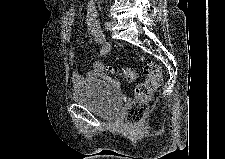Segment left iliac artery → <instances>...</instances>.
<instances>
[{
    "label": "left iliac artery",
    "mask_w": 225,
    "mask_h": 159,
    "mask_svg": "<svg viewBox=\"0 0 225 159\" xmlns=\"http://www.w3.org/2000/svg\"><path fill=\"white\" fill-rule=\"evenodd\" d=\"M108 24H109V21H106V22H105V26H108Z\"/></svg>",
    "instance_id": "left-iliac-artery-1"
}]
</instances>
